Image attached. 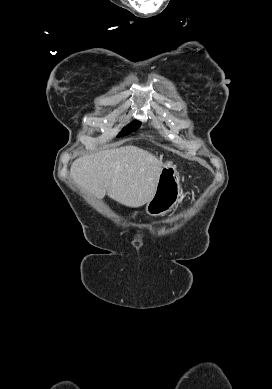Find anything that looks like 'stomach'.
Instances as JSON below:
<instances>
[{
	"mask_svg": "<svg viewBox=\"0 0 272 389\" xmlns=\"http://www.w3.org/2000/svg\"><path fill=\"white\" fill-rule=\"evenodd\" d=\"M180 198V177L175 165L162 166L153 197L146 205L150 216H162L170 212Z\"/></svg>",
	"mask_w": 272,
	"mask_h": 389,
	"instance_id": "0dacf381",
	"label": "stomach"
}]
</instances>
